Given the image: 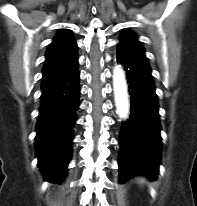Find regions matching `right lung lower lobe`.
Here are the masks:
<instances>
[{
  "label": "right lung lower lobe",
  "instance_id": "right-lung-lower-lobe-1",
  "mask_svg": "<svg viewBox=\"0 0 197 206\" xmlns=\"http://www.w3.org/2000/svg\"><path fill=\"white\" fill-rule=\"evenodd\" d=\"M78 58L56 79L42 86L36 125V156L46 180L59 183L72 155L73 131L79 106Z\"/></svg>",
  "mask_w": 197,
  "mask_h": 206
}]
</instances>
